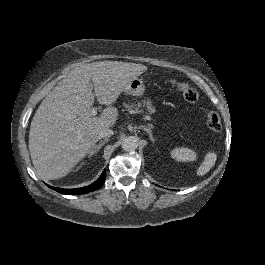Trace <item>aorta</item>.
I'll list each match as a JSON object with an SVG mask.
<instances>
[{
	"label": "aorta",
	"mask_w": 265,
	"mask_h": 265,
	"mask_svg": "<svg viewBox=\"0 0 265 265\" xmlns=\"http://www.w3.org/2000/svg\"><path fill=\"white\" fill-rule=\"evenodd\" d=\"M138 147V139L135 136H127L122 141V148L125 151H134Z\"/></svg>",
	"instance_id": "obj_1"
}]
</instances>
